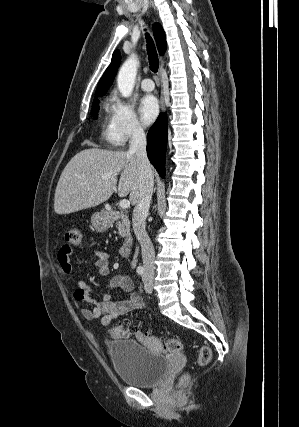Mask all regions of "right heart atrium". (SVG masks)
Masks as SVG:
<instances>
[{"mask_svg":"<svg viewBox=\"0 0 299 427\" xmlns=\"http://www.w3.org/2000/svg\"><path fill=\"white\" fill-rule=\"evenodd\" d=\"M108 111L109 121L106 135L113 145L123 146L129 140L144 134V128L129 102L113 94L109 98Z\"/></svg>","mask_w":299,"mask_h":427,"instance_id":"right-heart-atrium-1","label":"right heart atrium"}]
</instances>
